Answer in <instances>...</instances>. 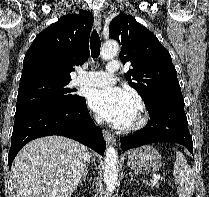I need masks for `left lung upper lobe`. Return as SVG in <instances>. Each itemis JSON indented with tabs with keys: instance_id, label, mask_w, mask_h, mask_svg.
<instances>
[{
	"instance_id": "1",
	"label": "left lung upper lobe",
	"mask_w": 209,
	"mask_h": 197,
	"mask_svg": "<svg viewBox=\"0 0 209 197\" xmlns=\"http://www.w3.org/2000/svg\"><path fill=\"white\" fill-rule=\"evenodd\" d=\"M109 32L122 45L121 60L131 62L125 77L146 108L159 100L183 99L171 56L152 32L124 13L111 21Z\"/></svg>"
}]
</instances>
